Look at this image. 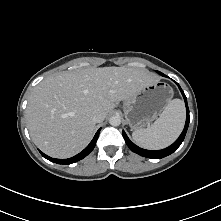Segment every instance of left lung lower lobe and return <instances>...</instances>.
Returning <instances> with one entry per match:
<instances>
[{
	"mask_svg": "<svg viewBox=\"0 0 221 221\" xmlns=\"http://www.w3.org/2000/svg\"><path fill=\"white\" fill-rule=\"evenodd\" d=\"M176 84L178 85V87L183 95L185 105H186V123H185L183 132L181 133L179 138L169 147L162 149V150L150 151V150L142 149V148L138 147L137 145H135L133 142L130 141V139L128 138L126 133L123 131V137L125 139V142L133 152H135L143 157L152 158V159H161V158H164V157L172 154L175 150L178 149V147L183 142L186 132H187V129H188V126H189L190 116H189V108L187 105V98H186L183 90L179 86V84L178 83H176Z\"/></svg>",
	"mask_w": 221,
	"mask_h": 221,
	"instance_id": "left-lung-lower-lobe-1",
	"label": "left lung lower lobe"
}]
</instances>
